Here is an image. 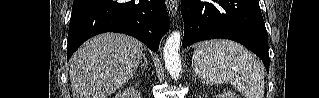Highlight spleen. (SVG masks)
I'll return each instance as SVG.
<instances>
[{"label": "spleen", "instance_id": "spleen-1", "mask_svg": "<svg viewBox=\"0 0 319 98\" xmlns=\"http://www.w3.org/2000/svg\"><path fill=\"white\" fill-rule=\"evenodd\" d=\"M192 66L201 80L209 84H231L245 98H263L264 69L246 48L229 40L200 43Z\"/></svg>", "mask_w": 319, "mask_h": 98}]
</instances>
